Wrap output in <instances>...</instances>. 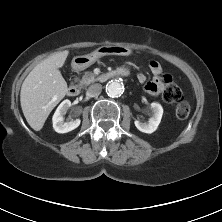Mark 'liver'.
I'll use <instances>...</instances> for the list:
<instances>
[{
  "mask_svg": "<svg viewBox=\"0 0 222 222\" xmlns=\"http://www.w3.org/2000/svg\"><path fill=\"white\" fill-rule=\"evenodd\" d=\"M68 54V50L57 52L37 64L21 86V108L35 131L43 128L50 112L67 93V83L59 68L64 65Z\"/></svg>",
  "mask_w": 222,
  "mask_h": 222,
  "instance_id": "obj_1",
  "label": "liver"
}]
</instances>
